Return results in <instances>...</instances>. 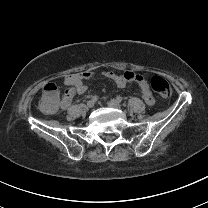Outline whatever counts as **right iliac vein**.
Segmentation results:
<instances>
[{"label": "right iliac vein", "mask_w": 208, "mask_h": 208, "mask_svg": "<svg viewBox=\"0 0 208 208\" xmlns=\"http://www.w3.org/2000/svg\"><path fill=\"white\" fill-rule=\"evenodd\" d=\"M94 105H95V102L93 100H90V101L87 102V107L88 108H92V107H94Z\"/></svg>", "instance_id": "obj_1"}]
</instances>
